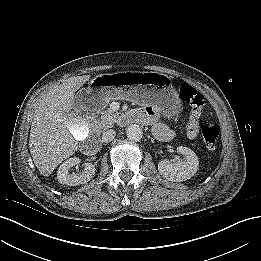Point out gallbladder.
<instances>
[{
	"mask_svg": "<svg viewBox=\"0 0 261 261\" xmlns=\"http://www.w3.org/2000/svg\"><path fill=\"white\" fill-rule=\"evenodd\" d=\"M67 124L73 138L77 141L85 140L90 134L88 123L80 116L70 117Z\"/></svg>",
	"mask_w": 261,
	"mask_h": 261,
	"instance_id": "gallbladder-1",
	"label": "gallbladder"
}]
</instances>
